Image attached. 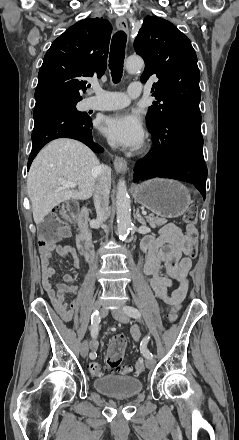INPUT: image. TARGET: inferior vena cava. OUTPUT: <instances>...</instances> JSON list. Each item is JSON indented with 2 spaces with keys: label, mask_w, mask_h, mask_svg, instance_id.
Masks as SVG:
<instances>
[{
  "label": "inferior vena cava",
  "mask_w": 239,
  "mask_h": 440,
  "mask_svg": "<svg viewBox=\"0 0 239 440\" xmlns=\"http://www.w3.org/2000/svg\"><path fill=\"white\" fill-rule=\"evenodd\" d=\"M114 148V144L109 142ZM97 180L94 188L93 200L97 214V222L103 224L109 216V194L111 188V168L109 166H98L96 170ZM110 307V304L106 305Z\"/></svg>",
  "instance_id": "inferior-vena-cava-1"
}]
</instances>
